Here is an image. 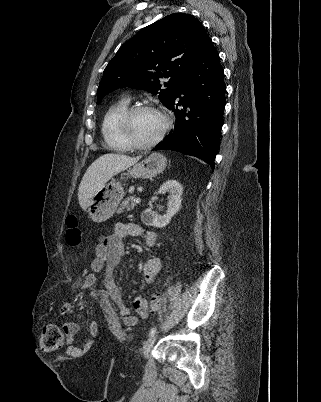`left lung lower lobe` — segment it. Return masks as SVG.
Wrapping results in <instances>:
<instances>
[{
  "label": "left lung lower lobe",
  "mask_w": 321,
  "mask_h": 402,
  "mask_svg": "<svg viewBox=\"0 0 321 402\" xmlns=\"http://www.w3.org/2000/svg\"><path fill=\"white\" fill-rule=\"evenodd\" d=\"M223 75L218 52L210 39L182 78L168 106L176 116L175 128L153 150H175L196 156L214 169L226 102Z\"/></svg>",
  "instance_id": "0a47b994"
}]
</instances>
